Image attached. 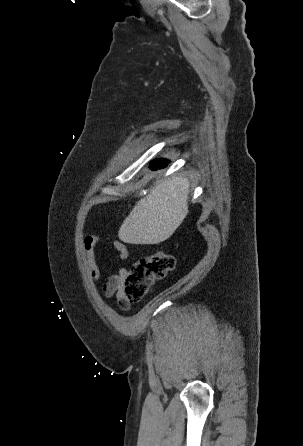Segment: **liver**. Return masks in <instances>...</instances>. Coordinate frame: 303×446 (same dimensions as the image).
Returning <instances> with one entry per match:
<instances>
[{"label": "liver", "mask_w": 303, "mask_h": 446, "mask_svg": "<svg viewBox=\"0 0 303 446\" xmlns=\"http://www.w3.org/2000/svg\"><path fill=\"white\" fill-rule=\"evenodd\" d=\"M188 195L186 178L162 180L136 203L119 229V239L136 245L167 240L188 214Z\"/></svg>", "instance_id": "1"}]
</instances>
